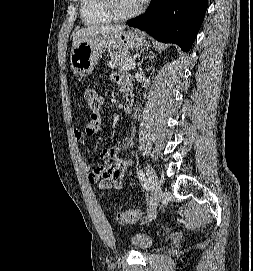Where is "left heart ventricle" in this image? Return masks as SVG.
<instances>
[{"label":"left heart ventricle","instance_id":"obj_1","mask_svg":"<svg viewBox=\"0 0 253 271\" xmlns=\"http://www.w3.org/2000/svg\"><path fill=\"white\" fill-rule=\"evenodd\" d=\"M140 3V0H118V7L122 12H129L137 8Z\"/></svg>","mask_w":253,"mask_h":271}]
</instances>
